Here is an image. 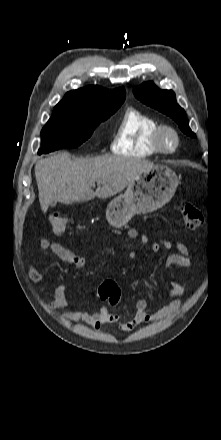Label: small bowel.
<instances>
[{"instance_id":"obj_1","label":"small bowel","mask_w":221,"mask_h":440,"mask_svg":"<svg viewBox=\"0 0 221 440\" xmlns=\"http://www.w3.org/2000/svg\"><path fill=\"white\" fill-rule=\"evenodd\" d=\"M128 237L130 239H140L144 244L148 242V237L145 234H140L135 228H131L128 231ZM173 246L178 250L177 253H171L166 261V268L171 269L173 267L190 268L192 263L189 258L188 248L180 242H176L174 245L167 240H160L154 242L151 245V250L154 253H158L162 248L166 251H170ZM39 247L42 250L52 251L62 261L72 264L78 269L86 267L88 259L85 256L77 255L68 248L64 247L58 242L50 241L48 239H42L39 242ZM127 255L130 259H133L135 254L133 251L128 250ZM28 274L30 278L35 282H40L43 278L41 272L30 264L28 267ZM68 286L66 284H59L54 290V298L49 302L48 308L52 310L65 309L62 317L69 322H84L94 330H99L103 325L117 322L121 314L112 311L108 306L101 307L96 312H87L79 309H70L67 301ZM186 295L185 288L175 280L170 281V287L167 291V297L170 302L160 308L156 312H148V301L141 299L136 302L132 311L127 312L126 315L130 318L122 323L118 324V329L123 332H130L137 326L153 321L162 320L169 315L175 313L181 306L182 298ZM117 302V301H116ZM115 302V303H116Z\"/></svg>"}]
</instances>
